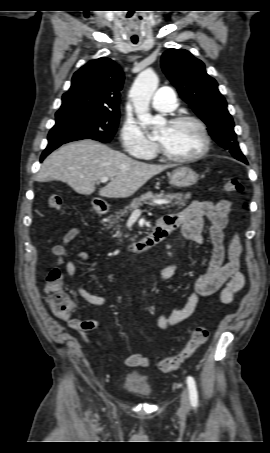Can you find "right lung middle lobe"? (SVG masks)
<instances>
[{
  "label": "right lung middle lobe",
  "mask_w": 270,
  "mask_h": 453,
  "mask_svg": "<svg viewBox=\"0 0 270 453\" xmlns=\"http://www.w3.org/2000/svg\"><path fill=\"white\" fill-rule=\"evenodd\" d=\"M119 114L102 112H78L56 117V124L48 135L49 143H67L81 139H93L103 143L114 136Z\"/></svg>",
  "instance_id": "right-lung-middle-lobe-1"
}]
</instances>
